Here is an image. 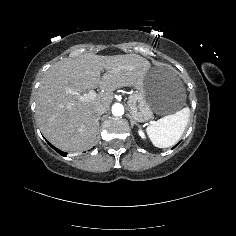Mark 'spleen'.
Returning a JSON list of instances; mask_svg holds the SVG:
<instances>
[{"mask_svg":"<svg viewBox=\"0 0 236 236\" xmlns=\"http://www.w3.org/2000/svg\"><path fill=\"white\" fill-rule=\"evenodd\" d=\"M190 119V109L184 107L175 114L166 116L148 127L156 147L167 148L175 145L185 132Z\"/></svg>","mask_w":236,"mask_h":236,"instance_id":"spleen-1","label":"spleen"}]
</instances>
